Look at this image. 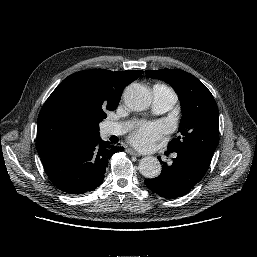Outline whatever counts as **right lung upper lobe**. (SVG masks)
Returning a JSON list of instances; mask_svg holds the SVG:
<instances>
[{
	"instance_id": "cb5924a9",
	"label": "right lung upper lobe",
	"mask_w": 257,
	"mask_h": 257,
	"mask_svg": "<svg viewBox=\"0 0 257 257\" xmlns=\"http://www.w3.org/2000/svg\"><path fill=\"white\" fill-rule=\"evenodd\" d=\"M141 74L142 70L112 72L93 69L65 78L39 113L38 153L68 140L99 136L91 111L100 106H118L123 89Z\"/></svg>"
}]
</instances>
